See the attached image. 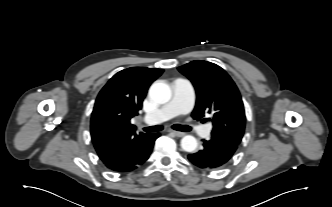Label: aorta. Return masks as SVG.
Wrapping results in <instances>:
<instances>
[{
  "mask_svg": "<svg viewBox=\"0 0 332 207\" xmlns=\"http://www.w3.org/2000/svg\"><path fill=\"white\" fill-rule=\"evenodd\" d=\"M170 87L161 81L154 82L149 89V97L158 104H165L171 99ZM197 140L191 135H186L181 139V148L186 152H193L197 148Z\"/></svg>",
  "mask_w": 332,
  "mask_h": 207,
  "instance_id": "762f6f07",
  "label": "aorta"
}]
</instances>
